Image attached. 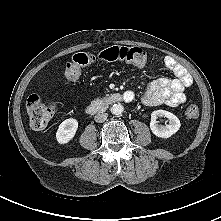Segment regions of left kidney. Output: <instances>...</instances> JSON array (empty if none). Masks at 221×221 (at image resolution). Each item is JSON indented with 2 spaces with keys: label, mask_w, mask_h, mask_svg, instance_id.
I'll return each mask as SVG.
<instances>
[{
  "label": "left kidney",
  "mask_w": 221,
  "mask_h": 221,
  "mask_svg": "<svg viewBox=\"0 0 221 221\" xmlns=\"http://www.w3.org/2000/svg\"><path fill=\"white\" fill-rule=\"evenodd\" d=\"M166 117L169 123L165 126L158 125L156 119ZM180 121L173 113L166 110H156L151 114L150 129L154 135L160 138H169L180 129Z\"/></svg>",
  "instance_id": "obj_1"
}]
</instances>
